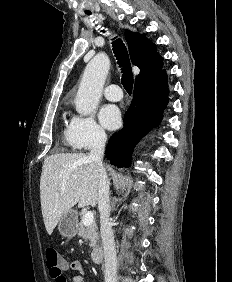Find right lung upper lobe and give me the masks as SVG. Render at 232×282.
<instances>
[{
  "label": "right lung upper lobe",
  "mask_w": 232,
  "mask_h": 282,
  "mask_svg": "<svg viewBox=\"0 0 232 282\" xmlns=\"http://www.w3.org/2000/svg\"><path fill=\"white\" fill-rule=\"evenodd\" d=\"M125 39L132 63L140 68L137 78L147 77L162 70L163 57L156 51V45L144 34L126 30Z\"/></svg>",
  "instance_id": "1"
}]
</instances>
